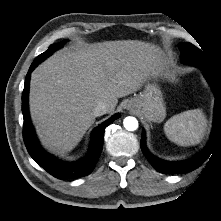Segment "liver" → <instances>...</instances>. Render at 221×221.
<instances>
[{"instance_id": "6515ba94", "label": "liver", "mask_w": 221, "mask_h": 221, "mask_svg": "<svg viewBox=\"0 0 221 221\" xmlns=\"http://www.w3.org/2000/svg\"><path fill=\"white\" fill-rule=\"evenodd\" d=\"M155 45L136 40L83 44L55 53L32 73L30 113L42 144L65 154L95 121L104 102L112 113L118 98L138 91L161 69Z\"/></svg>"}]
</instances>
